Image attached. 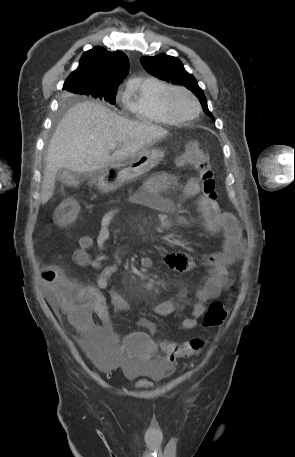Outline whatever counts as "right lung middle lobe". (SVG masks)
Segmentation results:
<instances>
[{
  "label": "right lung middle lobe",
  "mask_w": 295,
  "mask_h": 457,
  "mask_svg": "<svg viewBox=\"0 0 295 457\" xmlns=\"http://www.w3.org/2000/svg\"><path fill=\"white\" fill-rule=\"evenodd\" d=\"M117 87H104L92 89L85 85L75 84L72 86V93L90 95L95 98L103 99L111 104H115Z\"/></svg>",
  "instance_id": "obj_1"
}]
</instances>
